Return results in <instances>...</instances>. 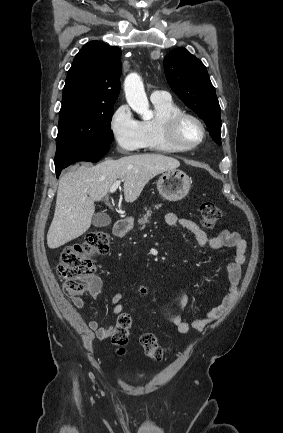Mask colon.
<instances>
[{
  "label": "colon",
  "instance_id": "colon-1",
  "mask_svg": "<svg viewBox=\"0 0 283 433\" xmlns=\"http://www.w3.org/2000/svg\"><path fill=\"white\" fill-rule=\"evenodd\" d=\"M201 223L206 228L215 227L223 217L222 210L213 202L205 201L200 205ZM110 237L105 231L89 233L80 244L66 247L59 258L57 273L64 280L65 294L79 297L88 288L86 279L94 272L93 256L106 254L109 250ZM132 328V317L129 313H121L113 328L111 342L118 353L125 352ZM140 345L150 359L159 361L164 358L167 348L161 346L152 331H145L140 337Z\"/></svg>",
  "mask_w": 283,
  "mask_h": 433
}]
</instances>
